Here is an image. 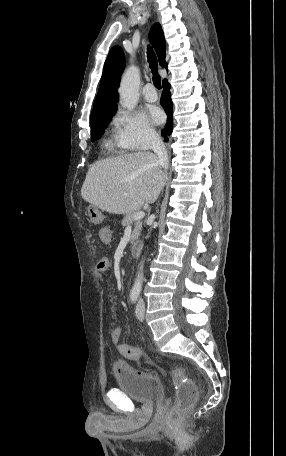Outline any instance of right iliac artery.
I'll return each instance as SVG.
<instances>
[{"label": "right iliac artery", "mask_w": 286, "mask_h": 456, "mask_svg": "<svg viewBox=\"0 0 286 456\" xmlns=\"http://www.w3.org/2000/svg\"><path fill=\"white\" fill-rule=\"evenodd\" d=\"M139 290H131L130 292V300L132 303H135L139 297Z\"/></svg>", "instance_id": "obj_1"}]
</instances>
